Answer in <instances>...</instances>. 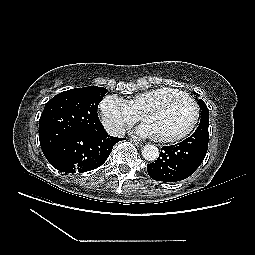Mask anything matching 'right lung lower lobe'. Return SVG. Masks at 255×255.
Returning <instances> with one entry per match:
<instances>
[{
    "instance_id": "obj_1",
    "label": "right lung lower lobe",
    "mask_w": 255,
    "mask_h": 255,
    "mask_svg": "<svg viewBox=\"0 0 255 255\" xmlns=\"http://www.w3.org/2000/svg\"><path fill=\"white\" fill-rule=\"evenodd\" d=\"M122 140L98 133L75 131L44 154L50 164L66 173H82L98 168L109 157L113 146Z\"/></svg>"
}]
</instances>
